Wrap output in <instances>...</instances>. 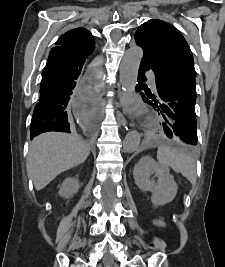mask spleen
Instances as JSON below:
<instances>
[{
    "instance_id": "obj_1",
    "label": "spleen",
    "mask_w": 225,
    "mask_h": 267,
    "mask_svg": "<svg viewBox=\"0 0 225 267\" xmlns=\"http://www.w3.org/2000/svg\"><path fill=\"white\" fill-rule=\"evenodd\" d=\"M157 160L161 166L171 167L176 173H181L191 183L196 181V166L194 159L170 146H160Z\"/></svg>"
}]
</instances>
